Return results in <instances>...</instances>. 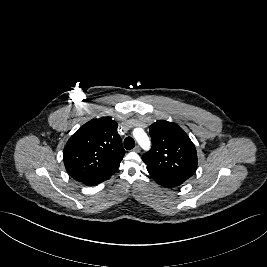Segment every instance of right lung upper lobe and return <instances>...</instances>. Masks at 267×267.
Masks as SVG:
<instances>
[{
	"instance_id": "1",
	"label": "right lung upper lobe",
	"mask_w": 267,
	"mask_h": 267,
	"mask_svg": "<svg viewBox=\"0 0 267 267\" xmlns=\"http://www.w3.org/2000/svg\"><path fill=\"white\" fill-rule=\"evenodd\" d=\"M117 126L110 117L93 119L69 138L63 159L71 177L85 182L118 169L125 150Z\"/></svg>"
}]
</instances>
